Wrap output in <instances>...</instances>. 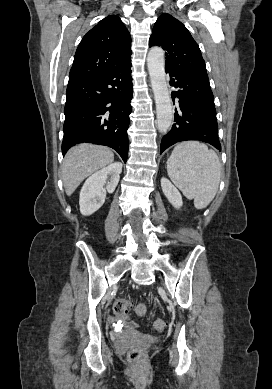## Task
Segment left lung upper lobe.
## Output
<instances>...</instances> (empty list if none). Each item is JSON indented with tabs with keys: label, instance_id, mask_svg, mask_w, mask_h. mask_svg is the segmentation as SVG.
I'll list each match as a JSON object with an SVG mask.
<instances>
[{
	"label": "left lung upper lobe",
	"instance_id": "left-lung-upper-lobe-1",
	"mask_svg": "<svg viewBox=\"0 0 272 389\" xmlns=\"http://www.w3.org/2000/svg\"><path fill=\"white\" fill-rule=\"evenodd\" d=\"M149 46H161L166 51V71L206 72L198 44L186 27L170 14H162L157 19Z\"/></svg>",
	"mask_w": 272,
	"mask_h": 389
}]
</instances>
